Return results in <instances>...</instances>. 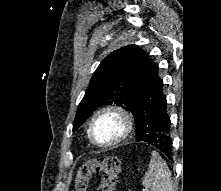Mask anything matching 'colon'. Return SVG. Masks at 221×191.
I'll return each instance as SVG.
<instances>
[{
    "instance_id": "obj_1",
    "label": "colon",
    "mask_w": 221,
    "mask_h": 191,
    "mask_svg": "<svg viewBox=\"0 0 221 191\" xmlns=\"http://www.w3.org/2000/svg\"><path fill=\"white\" fill-rule=\"evenodd\" d=\"M121 172V162L115 156H101L80 166L76 176L77 191H85L94 173L101 175L97 191H116V183Z\"/></svg>"
}]
</instances>
